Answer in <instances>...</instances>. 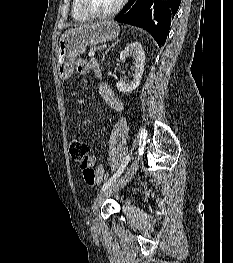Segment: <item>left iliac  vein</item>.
I'll use <instances>...</instances> for the list:
<instances>
[{"label":"left iliac vein","mask_w":233,"mask_h":263,"mask_svg":"<svg viewBox=\"0 0 233 263\" xmlns=\"http://www.w3.org/2000/svg\"><path fill=\"white\" fill-rule=\"evenodd\" d=\"M137 169H138V161L133 160L129 165V167L127 168V170L125 171V173L120 178H118L110 187L102 191L96 197L93 205L94 214H97L101 205L107 198L120 191L133 178ZM94 227L95 228L97 227L96 221L94 222Z\"/></svg>","instance_id":"1"}]
</instances>
